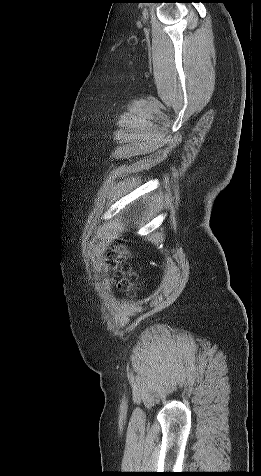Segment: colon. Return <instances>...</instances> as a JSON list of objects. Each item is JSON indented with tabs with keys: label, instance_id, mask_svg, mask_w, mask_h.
<instances>
[{
	"label": "colon",
	"instance_id": "1",
	"mask_svg": "<svg viewBox=\"0 0 261 476\" xmlns=\"http://www.w3.org/2000/svg\"><path fill=\"white\" fill-rule=\"evenodd\" d=\"M129 255V251L124 245H116L111 252L108 254V261L115 266V269H119V264ZM124 272L129 274V269L126 267L123 269ZM119 286L130 290L133 287V282L128 278L124 277L119 281Z\"/></svg>",
	"mask_w": 261,
	"mask_h": 476
}]
</instances>
